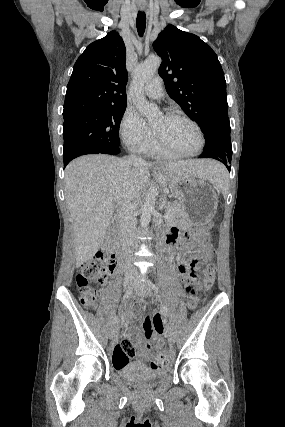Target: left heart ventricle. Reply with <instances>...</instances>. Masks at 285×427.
Returning a JSON list of instances; mask_svg holds the SVG:
<instances>
[{"label": "left heart ventricle", "instance_id": "1", "mask_svg": "<svg viewBox=\"0 0 285 427\" xmlns=\"http://www.w3.org/2000/svg\"><path fill=\"white\" fill-rule=\"evenodd\" d=\"M152 125L167 142L178 150L193 152L199 146V137L195 128L184 120L160 114Z\"/></svg>", "mask_w": 285, "mask_h": 427}]
</instances>
